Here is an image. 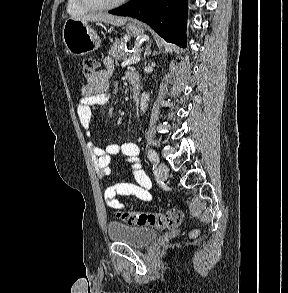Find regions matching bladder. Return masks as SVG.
I'll return each instance as SVG.
<instances>
[{
  "mask_svg": "<svg viewBox=\"0 0 288 293\" xmlns=\"http://www.w3.org/2000/svg\"><path fill=\"white\" fill-rule=\"evenodd\" d=\"M109 238L117 243L134 248H143L156 237L157 231L147 226L130 225L118 221H111L107 227Z\"/></svg>",
  "mask_w": 288,
  "mask_h": 293,
  "instance_id": "1",
  "label": "bladder"
}]
</instances>
